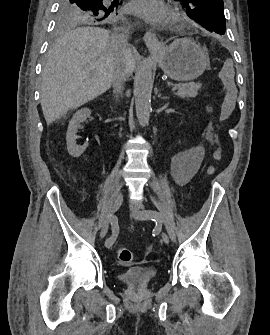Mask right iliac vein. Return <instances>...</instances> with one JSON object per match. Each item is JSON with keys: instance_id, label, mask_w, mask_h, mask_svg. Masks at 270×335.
<instances>
[{"instance_id": "1", "label": "right iliac vein", "mask_w": 270, "mask_h": 335, "mask_svg": "<svg viewBox=\"0 0 270 335\" xmlns=\"http://www.w3.org/2000/svg\"><path fill=\"white\" fill-rule=\"evenodd\" d=\"M122 202H123V195L121 192H118L115 195L113 203H112V208H111L112 213L116 212L120 208V206L122 205ZM110 222H111V218L109 217L108 222L103 226V228L100 231V238H103L107 234Z\"/></svg>"}]
</instances>
